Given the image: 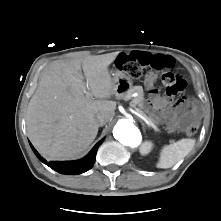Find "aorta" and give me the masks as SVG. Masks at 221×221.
<instances>
[{"mask_svg": "<svg viewBox=\"0 0 221 221\" xmlns=\"http://www.w3.org/2000/svg\"><path fill=\"white\" fill-rule=\"evenodd\" d=\"M113 135L121 144L137 147L141 143L139 129L128 119H122L114 127Z\"/></svg>", "mask_w": 221, "mask_h": 221, "instance_id": "1", "label": "aorta"}]
</instances>
